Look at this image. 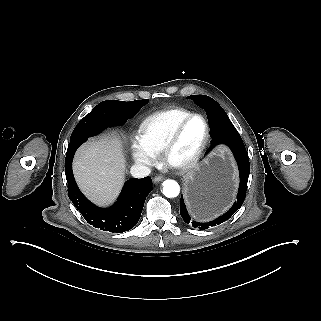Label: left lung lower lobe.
I'll use <instances>...</instances> for the list:
<instances>
[{
    "label": "left lung lower lobe",
    "instance_id": "1",
    "mask_svg": "<svg viewBox=\"0 0 321 321\" xmlns=\"http://www.w3.org/2000/svg\"><path fill=\"white\" fill-rule=\"evenodd\" d=\"M206 114L208 116V121L210 124V134L213 138L211 146L208 148L206 153L209 152L217 144L223 143L227 145L233 152L239 167L240 186L237 194V200L233 204V206L217 219L207 223H201L191 220L186 210L183 197L181 196L180 214L183 220L187 224H192L193 227H197L199 229H207L210 226H216L223 223L241 207L246 196L247 182L250 172L248 154L246 152L244 143L235 127H225L226 117L222 112L218 110H209L206 112Z\"/></svg>",
    "mask_w": 321,
    "mask_h": 321
}]
</instances>
